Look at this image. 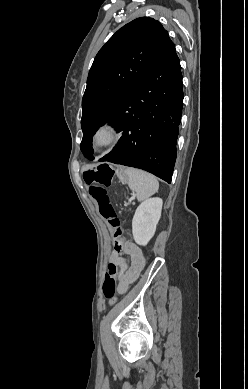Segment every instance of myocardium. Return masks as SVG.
<instances>
[{"label":"myocardium","mask_w":248,"mask_h":389,"mask_svg":"<svg viewBox=\"0 0 248 389\" xmlns=\"http://www.w3.org/2000/svg\"><path fill=\"white\" fill-rule=\"evenodd\" d=\"M120 132L116 125L110 122L101 124L93 136V145L98 149H106L118 142Z\"/></svg>","instance_id":"f54148a6"}]
</instances>
